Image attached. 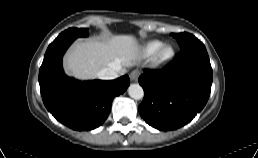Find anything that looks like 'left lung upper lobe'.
<instances>
[{"label": "left lung upper lobe", "instance_id": "5c2ea615", "mask_svg": "<svg viewBox=\"0 0 258 158\" xmlns=\"http://www.w3.org/2000/svg\"><path fill=\"white\" fill-rule=\"evenodd\" d=\"M174 38H176L180 47H183L193 41L198 40L194 35L190 33H172Z\"/></svg>", "mask_w": 258, "mask_h": 158}]
</instances>
